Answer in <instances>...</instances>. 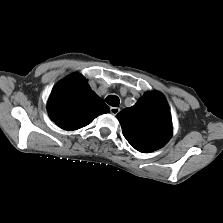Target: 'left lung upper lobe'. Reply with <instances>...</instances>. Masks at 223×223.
Segmentation results:
<instances>
[{"mask_svg":"<svg viewBox=\"0 0 223 223\" xmlns=\"http://www.w3.org/2000/svg\"><path fill=\"white\" fill-rule=\"evenodd\" d=\"M127 141L140 152L163 147L171 137L172 121L168 104L158 92L145 93L132 107L117 114Z\"/></svg>","mask_w":223,"mask_h":223,"instance_id":"5c2ea615","label":"left lung upper lobe"}]
</instances>
